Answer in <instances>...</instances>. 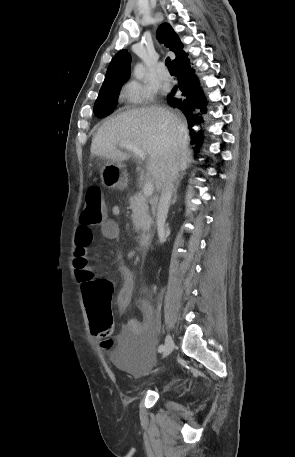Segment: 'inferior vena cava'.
Wrapping results in <instances>:
<instances>
[{
	"label": "inferior vena cava",
	"mask_w": 295,
	"mask_h": 457,
	"mask_svg": "<svg viewBox=\"0 0 295 457\" xmlns=\"http://www.w3.org/2000/svg\"><path fill=\"white\" fill-rule=\"evenodd\" d=\"M178 162L172 161L169 164L168 171L166 172L165 176L162 179V186H161V196L159 200V204L157 207V230L158 236L161 239L164 231V225L168 214V209L170 206V201L172 197V193L174 191V184L176 183L178 177Z\"/></svg>",
	"instance_id": "602c4592"
}]
</instances>
